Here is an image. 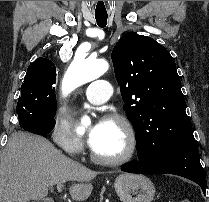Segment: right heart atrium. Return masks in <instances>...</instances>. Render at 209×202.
I'll list each match as a JSON object with an SVG mask.
<instances>
[{
  "mask_svg": "<svg viewBox=\"0 0 209 202\" xmlns=\"http://www.w3.org/2000/svg\"><path fill=\"white\" fill-rule=\"evenodd\" d=\"M51 136L52 139L70 155H77L83 149L84 142L82 138L74 131L69 123L55 119L53 121ZM67 164L71 171L76 167L75 163L71 160H69Z\"/></svg>",
  "mask_w": 209,
  "mask_h": 202,
  "instance_id": "right-heart-atrium-1",
  "label": "right heart atrium"
}]
</instances>
